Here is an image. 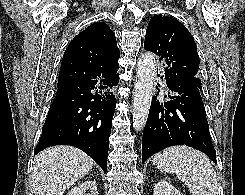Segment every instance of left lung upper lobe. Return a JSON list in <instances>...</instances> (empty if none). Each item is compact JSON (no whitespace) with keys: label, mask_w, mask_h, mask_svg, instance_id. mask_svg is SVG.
<instances>
[{"label":"left lung upper lobe","mask_w":245,"mask_h":195,"mask_svg":"<svg viewBox=\"0 0 245 195\" xmlns=\"http://www.w3.org/2000/svg\"><path fill=\"white\" fill-rule=\"evenodd\" d=\"M144 48L165 61V76L169 80L201 88L196 44L178 20L161 14L153 16L147 26Z\"/></svg>","instance_id":"left-lung-upper-lobe-1"}]
</instances>
